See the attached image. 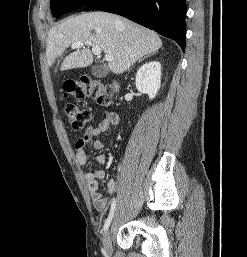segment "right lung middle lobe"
Wrapping results in <instances>:
<instances>
[{
  "label": "right lung middle lobe",
  "instance_id": "dd1d6c3e",
  "mask_svg": "<svg viewBox=\"0 0 247 257\" xmlns=\"http://www.w3.org/2000/svg\"><path fill=\"white\" fill-rule=\"evenodd\" d=\"M92 1L94 0H51L50 6L52 14L58 19L64 13L86 6Z\"/></svg>",
  "mask_w": 247,
  "mask_h": 257
}]
</instances>
